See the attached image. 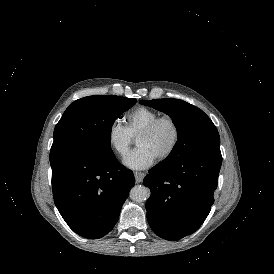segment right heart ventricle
I'll use <instances>...</instances> for the list:
<instances>
[{"mask_svg":"<svg viewBox=\"0 0 274 274\" xmlns=\"http://www.w3.org/2000/svg\"><path fill=\"white\" fill-rule=\"evenodd\" d=\"M158 117L160 114L157 111L141 108L125 117V129L130 137H136Z\"/></svg>","mask_w":274,"mask_h":274,"instance_id":"e07e8e85","label":"right heart ventricle"}]
</instances>
